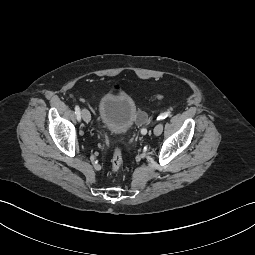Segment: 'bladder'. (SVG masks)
Masks as SVG:
<instances>
[{
  "mask_svg": "<svg viewBox=\"0 0 255 255\" xmlns=\"http://www.w3.org/2000/svg\"><path fill=\"white\" fill-rule=\"evenodd\" d=\"M98 116L109 133L123 135L136 122L137 105L128 93H106L99 101Z\"/></svg>",
  "mask_w": 255,
  "mask_h": 255,
  "instance_id": "obj_1",
  "label": "bladder"
}]
</instances>
